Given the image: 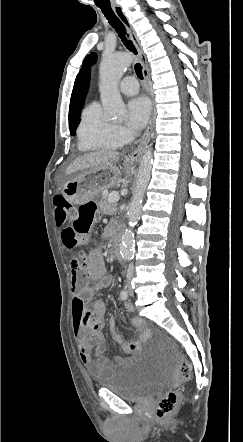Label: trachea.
I'll list each match as a JSON object with an SVG mask.
<instances>
[{
  "mask_svg": "<svg viewBox=\"0 0 243 442\" xmlns=\"http://www.w3.org/2000/svg\"><path fill=\"white\" fill-rule=\"evenodd\" d=\"M99 8L101 9L102 13L106 17L110 25L115 29V31L117 32L118 36L120 37L124 45L127 47V49H129L131 52L136 54V50L132 42L127 38L128 35L126 34V29L124 24L114 13L111 6H99ZM134 69L138 78L142 80L143 79L142 66L139 63H137L135 64Z\"/></svg>",
  "mask_w": 243,
  "mask_h": 442,
  "instance_id": "3493384b",
  "label": "trachea"
}]
</instances>
